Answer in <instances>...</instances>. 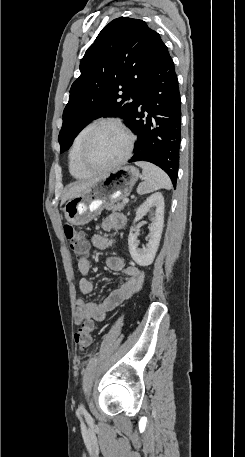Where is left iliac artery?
Returning a JSON list of instances; mask_svg holds the SVG:
<instances>
[{
  "label": "left iliac artery",
  "mask_w": 245,
  "mask_h": 457,
  "mask_svg": "<svg viewBox=\"0 0 245 457\" xmlns=\"http://www.w3.org/2000/svg\"><path fill=\"white\" fill-rule=\"evenodd\" d=\"M79 410H80L82 413H84L85 416H88V413H87V411L85 410V408H84V406H83L82 404H80Z\"/></svg>",
  "instance_id": "44dca946"
}]
</instances>
